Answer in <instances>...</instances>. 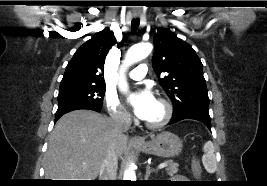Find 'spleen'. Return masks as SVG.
Here are the masks:
<instances>
[{"label": "spleen", "instance_id": "spleen-1", "mask_svg": "<svg viewBox=\"0 0 267 186\" xmlns=\"http://www.w3.org/2000/svg\"><path fill=\"white\" fill-rule=\"evenodd\" d=\"M204 155L202 157V162L205 167V169L209 173L215 172L217 166H216V159H215V154H214V145L211 141H207L204 144L203 147Z\"/></svg>", "mask_w": 267, "mask_h": 186}]
</instances>
